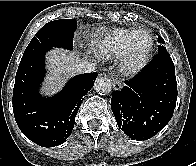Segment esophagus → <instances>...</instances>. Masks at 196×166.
Instances as JSON below:
<instances>
[{
    "instance_id": "esophagus-1",
    "label": "esophagus",
    "mask_w": 196,
    "mask_h": 166,
    "mask_svg": "<svg viewBox=\"0 0 196 166\" xmlns=\"http://www.w3.org/2000/svg\"><path fill=\"white\" fill-rule=\"evenodd\" d=\"M122 87H123V84L120 81L118 80L113 81V88L115 90H120Z\"/></svg>"
}]
</instances>
